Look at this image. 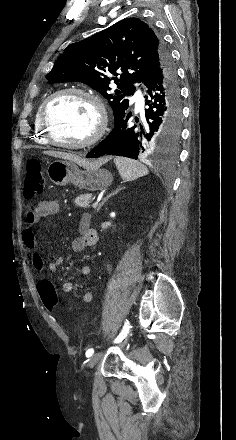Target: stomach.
<instances>
[{"label": "stomach", "mask_w": 236, "mask_h": 440, "mask_svg": "<svg viewBox=\"0 0 236 440\" xmlns=\"http://www.w3.org/2000/svg\"><path fill=\"white\" fill-rule=\"evenodd\" d=\"M82 167L83 169H81ZM49 179L59 186L71 183L81 189L96 191L111 185L113 177L100 167H83L70 160H55L47 168Z\"/></svg>", "instance_id": "stomach-1"}]
</instances>
